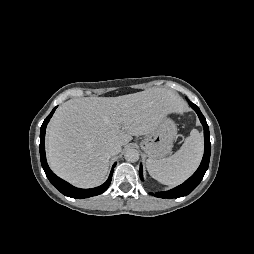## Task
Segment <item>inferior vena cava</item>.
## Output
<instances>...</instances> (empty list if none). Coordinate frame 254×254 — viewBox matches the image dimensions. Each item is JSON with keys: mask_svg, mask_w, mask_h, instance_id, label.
Returning a JSON list of instances; mask_svg holds the SVG:
<instances>
[{"mask_svg": "<svg viewBox=\"0 0 254 254\" xmlns=\"http://www.w3.org/2000/svg\"><path fill=\"white\" fill-rule=\"evenodd\" d=\"M120 151H121V145L118 144V143H112V144H110V145L107 147V150H106L107 155H108L109 157L118 154Z\"/></svg>", "mask_w": 254, "mask_h": 254, "instance_id": "inferior-vena-cava-1", "label": "inferior vena cava"}]
</instances>
